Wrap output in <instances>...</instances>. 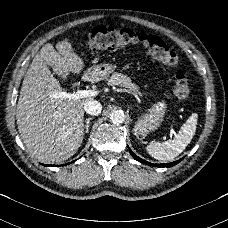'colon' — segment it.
<instances>
[{
  "label": "colon",
  "mask_w": 228,
  "mask_h": 228,
  "mask_svg": "<svg viewBox=\"0 0 228 228\" xmlns=\"http://www.w3.org/2000/svg\"><path fill=\"white\" fill-rule=\"evenodd\" d=\"M89 43L92 49H118L142 44L152 54L173 72V90L177 97L184 98L189 94V83L186 72L180 67V60L157 35L136 33L128 28L113 26H96L89 34Z\"/></svg>",
  "instance_id": "obj_1"
}]
</instances>
